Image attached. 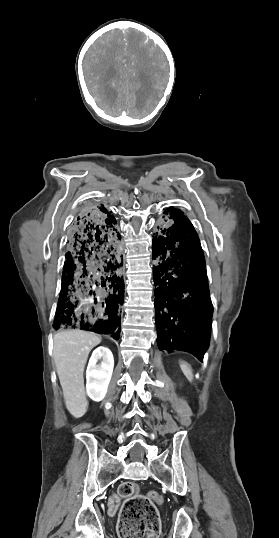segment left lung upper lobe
Returning a JSON list of instances; mask_svg holds the SVG:
<instances>
[{"mask_svg": "<svg viewBox=\"0 0 279 538\" xmlns=\"http://www.w3.org/2000/svg\"><path fill=\"white\" fill-rule=\"evenodd\" d=\"M168 212H170L169 219L174 220L175 218H187L180 210L171 208L168 209Z\"/></svg>", "mask_w": 279, "mask_h": 538, "instance_id": "1", "label": "left lung upper lobe"}]
</instances>
